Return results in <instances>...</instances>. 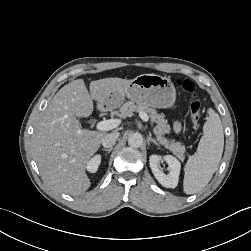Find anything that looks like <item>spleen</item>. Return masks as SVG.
<instances>
[{"label": "spleen", "instance_id": "obj_1", "mask_svg": "<svg viewBox=\"0 0 251 251\" xmlns=\"http://www.w3.org/2000/svg\"><path fill=\"white\" fill-rule=\"evenodd\" d=\"M203 132L196 153L189 157L185 165L183 189L186 194H195L210 182L222 157L223 127L213 109L208 110Z\"/></svg>", "mask_w": 251, "mask_h": 251}]
</instances>
